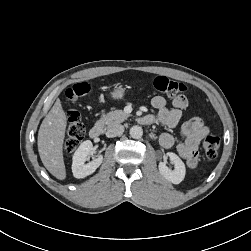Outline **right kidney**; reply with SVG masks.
<instances>
[{
    "instance_id": "ca27d5eb",
    "label": "right kidney",
    "mask_w": 251,
    "mask_h": 251,
    "mask_svg": "<svg viewBox=\"0 0 251 251\" xmlns=\"http://www.w3.org/2000/svg\"><path fill=\"white\" fill-rule=\"evenodd\" d=\"M91 149L92 142L90 140H86L81 143L79 148L75 151L72 158V172L75 178H85L86 176L94 173L96 169L101 165L103 161L102 155H99L93 161L85 164Z\"/></svg>"
}]
</instances>
